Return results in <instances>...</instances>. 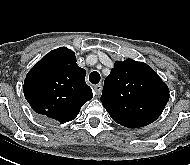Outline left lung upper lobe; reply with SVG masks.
Masks as SVG:
<instances>
[{
    "label": "left lung upper lobe",
    "mask_w": 190,
    "mask_h": 165,
    "mask_svg": "<svg viewBox=\"0 0 190 165\" xmlns=\"http://www.w3.org/2000/svg\"><path fill=\"white\" fill-rule=\"evenodd\" d=\"M169 100V89L154 70L133 59L116 61L104 81L101 101L114 121L128 128L154 122Z\"/></svg>",
    "instance_id": "obj_1"
}]
</instances>
